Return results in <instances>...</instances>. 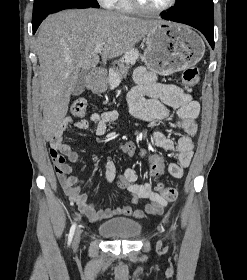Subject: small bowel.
Here are the masks:
<instances>
[{"mask_svg": "<svg viewBox=\"0 0 247 280\" xmlns=\"http://www.w3.org/2000/svg\"><path fill=\"white\" fill-rule=\"evenodd\" d=\"M134 80L136 86L128 93L127 100L130 112L135 118L147 121L151 127H154L158 121L170 115V108L176 111L178 117L176 126L184 132V135L178 139L176 144L160 132L153 133L152 139L158 147L173 153L175 161L168 165V172L174 178H181L184 169L189 166L193 156V138L197 132L196 118L200 110L199 103L180 87L158 82L156 75L143 67L135 70ZM118 118V113L113 110L96 112L91 114L89 119L78 121H74L70 116H67L53 132L50 139V149L64 156L70 162H77L81 157L80 154L73 150L63 138L67 128L74 126L77 129H88L91 125H95L96 135L103 136L108 125ZM104 169L106 181H114L116 178L114 163L107 162ZM58 176L69 200L77 205L79 211L91 221L115 216L143 218L145 215L161 213L168 203L161 194L152 188L149 182H137V174L132 169H127L122 176H126L131 182L127 190L131 195V204L136 205L144 199L150 201L143 210L134 209L131 205L97 209L88 202L87 195L81 192L83 181L80 178L70 175Z\"/></svg>", "mask_w": 247, "mask_h": 280, "instance_id": "c3829d8e", "label": "small bowel"}]
</instances>
